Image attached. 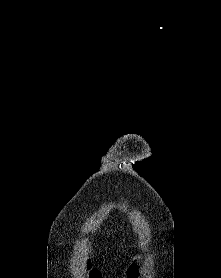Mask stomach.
I'll return each mask as SVG.
<instances>
[{
	"mask_svg": "<svg viewBox=\"0 0 221 278\" xmlns=\"http://www.w3.org/2000/svg\"><path fill=\"white\" fill-rule=\"evenodd\" d=\"M142 261H145V258H142ZM126 268H131V269H140V264H131V265H126ZM139 271L136 270H122V275H127V278H139Z\"/></svg>",
	"mask_w": 221,
	"mask_h": 278,
	"instance_id": "stomach-1",
	"label": "stomach"
}]
</instances>
